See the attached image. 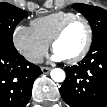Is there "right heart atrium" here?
<instances>
[{"mask_svg":"<svg viewBox=\"0 0 107 107\" xmlns=\"http://www.w3.org/2000/svg\"><path fill=\"white\" fill-rule=\"evenodd\" d=\"M12 40L18 52L35 64L43 59L49 48V44L39 38L32 27L23 24H18L14 28Z\"/></svg>","mask_w":107,"mask_h":107,"instance_id":"obj_1","label":"right heart atrium"}]
</instances>
